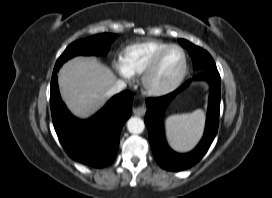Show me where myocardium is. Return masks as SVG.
<instances>
[{
    "label": "myocardium",
    "instance_id": "myocardium-1",
    "mask_svg": "<svg viewBox=\"0 0 272 198\" xmlns=\"http://www.w3.org/2000/svg\"><path fill=\"white\" fill-rule=\"evenodd\" d=\"M172 49H178L183 54L182 71L172 82L165 85H157L154 83L155 75L160 67L163 58ZM188 67H189L188 56L184 48L176 44L168 45L155 56V58L152 60L148 68L144 71L141 79L143 91L150 96H163L173 92L183 82L184 78L187 75Z\"/></svg>",
    "mask_w": 272,
    "mask_h": 198
}]
</instances>
